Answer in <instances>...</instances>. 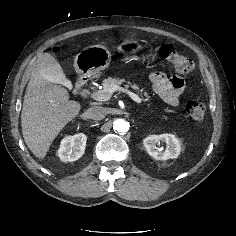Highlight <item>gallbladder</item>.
Instances as JSON below:
<instances>
[{"label": "gallbladder", "mask_w": 236, "mask_h": 236, "mask_svg": "<svg viewBox=\"0 0 236 236\" xmlns=\"http://www.w3.org/2000/svg\"><path fill=\"white\" fill-rule=\"evenodd\" d=\"M37 62L43 64L46 69V74L49 76V78L55 82L62 83L64 79L63 70L53 56L47 53L42 54L38 58Z\"/></svg>", "instance_id": "1"}]
</instances>
